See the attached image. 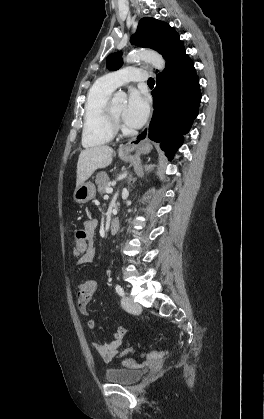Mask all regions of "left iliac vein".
Listing matches in <instances>:
<instances>
[{
  "label": "left iliac vein",
  "instance_id": "1",
  "mask_svg": "<svg viewBox=\"0 0 264 419\" xmlns=\"http://www.w3.org/2000/svg\"><path fill=\"white\" fill-rule=\"evenodd\" d=\"M121 303L123 308L130 313H138L141 311V306L130 297H123Z\"/></svg>",
  "mask_w": 264,
  "mask_h": 419
}]
</instances>
